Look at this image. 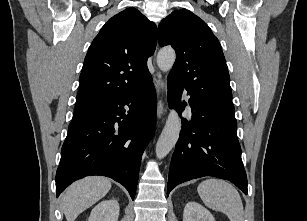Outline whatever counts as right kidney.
Listing matches in <instances>:
<instances>
[{
	"instance_id": "ca27d5eb",
	"label": "right kidney",
	"mask_w": 307,
	"mask_h": 221,
	"mask_svg": "<svg viewBox=\"0 0 307 221\" xmlns=\"http://www.w3.org/2000/svg\"><path fill=\"white\" fill-rule=\"evenodd\" d=\"M119 210L117 200L102 201L93 208L88 221H118Z\"/></svg>"
}]
</instances>
